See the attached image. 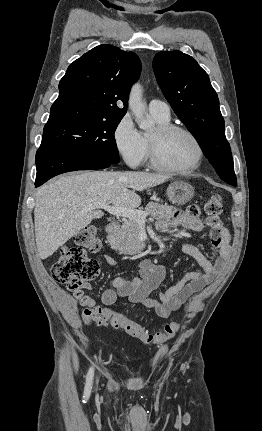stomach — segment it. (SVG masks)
Returning a JSON list of instances; mask_svg holds the SVG:
<instances>
[{"instance_id": "obj_1", "label": "stomach", "mask_w": 262, "mask_h": 431, "mask_svg": "<svg viewBox=\"0 0 262 431\" xmlns=\"http://www.w3.org/2000/svg\"><path fill=\"white\" fill-rule=\"evenodd\" d=\"M168 199L177 205L189 202L194 196V188L184 181H175L167 188Z\"/></svg>"}]
</instances>
